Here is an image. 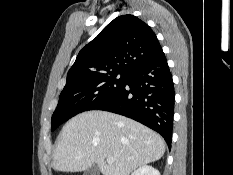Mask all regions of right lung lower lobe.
Segmentation results:
<instances>
[{
    "mask_svg": "<svg viewBox=\"0 0 233 175\" xmlns=\"http://www.w3.org/2000/svg\"><path fill=\"white\" fill-rule=\"evenodd\" d=\"M174 86L166 57L143 64L128 74L125 86L97 109L134 119L158 132L171 148Z\"/></svg>",
    "mask_w": 233,
    "mask_h": 175,
    "instance_id": "98d812e1",
    "label": "right lung lower lobe"
}]
</instances>
